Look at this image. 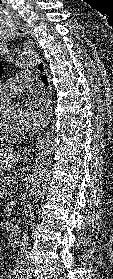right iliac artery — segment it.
Listing matches in <instances>:
<instances>
[{"label": "right iliac artery", "instance_id": "right-iliac-artery-1", "mask_svg": "<svg viewBox=\"0 0 113 279\" xmlns=\"http://www.w3.org/2000/svg\"><path fill=\"white\" fill-rule=\"evenodd\" d=\"M11 275H12L13 277L17 275V272H16L15 269L11 270Z\"/></svg>", "mask_w": 113, "mask_h": 279}]
</instances>
